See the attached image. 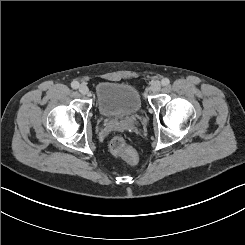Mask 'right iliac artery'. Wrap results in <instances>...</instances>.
I'll return each mask as SVG.
<instances>
[{"label": "right iliac artery", "mask_w": 245, "mask_h": 245, "mask_svg": "<svg viewBox=\"0 0 245 245\" xmlns=\"http://www.w3.org/2000/svg\"><path fill=\"white\" fill-rule=\"evenodd\" d=\"M71 87H72L73 89H77V88L79 87V83H78L77 81H73V82L71 83Z\"/></svg>", "instance_id": "1"}]
</instances>
